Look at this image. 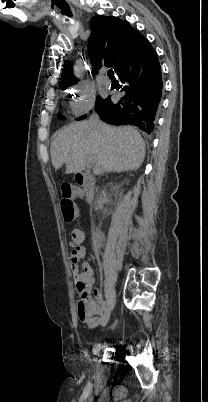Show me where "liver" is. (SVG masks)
I'll use <instances>...</instances> for the list:
<instances>
[{
    "label": "liver",
    "instance_id": "liver-1",
    "mask_svg": "<svg viewBox=\"0 0 208 402\" xmlns=\"http://www.w3.org/2000/svg\"><path fill=\"white\" fill-rule=\"evenodd\" d=\"M109 150L108 160L100 164V156ZM55 170L66 164L65 174L83 172L91 162L95 174L138 170L146 154L145 142L132 126L112 128L107 124L90 126L89 122L70 124L53 140L50 148Z\"/></svg>",
    "mask_w": 208,
    "mask_h": 402
}]
</instances>
